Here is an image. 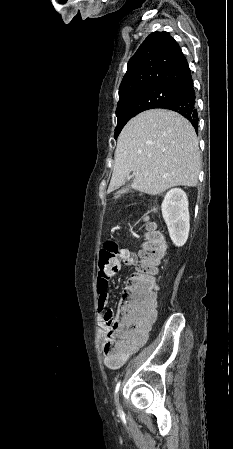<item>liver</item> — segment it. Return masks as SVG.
I'll return each mask as SVG.
<instances>
[{
	"mask_svg": "<svg viewBox=\"0 0 233 449\" xmlns=\"http://www.w3.org/2000/svg\"><path fill=\"white\" fill-rule=\"evenodd\" d=\"M108 193L121 187L131 171L132 188L158 195L174 186L194 187L201 167L198 139L180 114L151 109L132 118L121 131Z\"/></svg>",
	"mask_w": 233,
	"mask_h": 449,
	"instance_id": "6515ba94",
	"label": "liver"
}]
</instances>
